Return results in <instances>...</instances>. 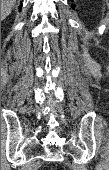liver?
Instances as JSON below:
<instances>
[{"instance_id": "obj_1", "label": "liver", "mask_w": 109, "mask_h": 170, "mask_svg": "<svg viewBox=\"0 0 109 170\" xmlns=\"http://www.w3.org/2000/svg\"><path fill=\"white\" fill-rule=\"evenodd\" d=\"M16 0H1V19L4 20L12 11Z\"/></svg>"}]
</instances>
